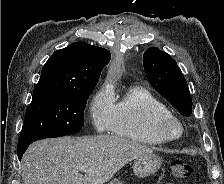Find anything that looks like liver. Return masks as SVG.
<instances>
[{
    "instance_id": "liver-1",
    "label": "liver",
    "mask_w": 224,
    "mask_h": 184,
    "mask_svg": "<svg viewBox=\"0 0 224 184\" xmlns=\"http://www.w3.org/2000/svg\"><path fill=\"white\" fill-rule=\"evenodd\" d=\"M152 153L145 145L111 135L44 139L23 155V184H104L128 162Z\"/></svg>"
}]
</instances>
